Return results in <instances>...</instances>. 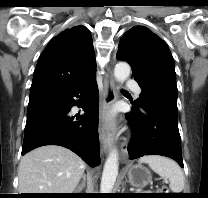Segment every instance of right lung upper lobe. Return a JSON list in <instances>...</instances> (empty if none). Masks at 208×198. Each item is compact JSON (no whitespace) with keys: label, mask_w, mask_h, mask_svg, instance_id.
<instances>
[{"label":"right lung upper lobe","mask_w":208,"mask_h":198,"mask_svg":"<svg viewBox=\"0 0 208 198\" xmlns=\"http://www.w3.org/2000/svg\"><path fill=\"white\" fill-rule=\"evenodd\" d=\"M89 30L82 25L55 36L42 52L32 80L29 103L67 93L95 75Z\"/></svg>","instance_id":"1"}]
</instances>
